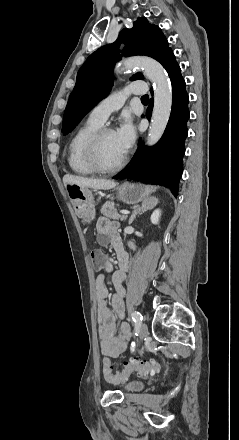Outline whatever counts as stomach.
I'll return each instance as SVG.
<instances>
[{"label": "stomach", "instance_id": "1", "mask_svg": "<svg viewBox=\"0 0 239 440\" xmlns=\"http://www.w3.org/2000/svg\"><path fill=\"white\" fill-rule=\"evenodd\" d=\"M155 186H144V184H129L125 182L117 188L118 198L125 204H139V202H150L151 194L155 192ZM68 196L73 204L75 214L84 222H92L95 218L94 196L88 188L69 186Z\"/></svg>", "mask_w": 239, "mask_h": 440}]
</instances>
